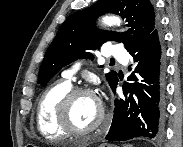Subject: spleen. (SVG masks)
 <instances>
[{"label":"spleen","instance_id":"3e777b00","mask_svg":"<svg viewBox=\"0 0 183 147\" xmlns=\"http://www.w3.org/2000/svg\"><path fill=\"white\" fill-rule=\"evenodd\" d=\"M126 147H131L130 145H127Z\"/></svg>","mask_w":183,"mask_h":147}]
</instances>
